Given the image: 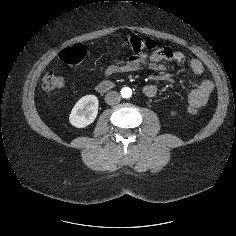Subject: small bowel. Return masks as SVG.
<instances>
[{
	"label": "small bowel",
	"mask_w": 236,
	"mask_h": 236,
	"mask_svg": "<svg viewBox=\"0 0 236 236\" xmlns=\"http://www.w3.org/2000/svg\"><path fill=\"white\" fill-rule=\"evenodd\" d=\"M185 60V55L181 51L174 50L171 47H164L160 52L150 55L134 54L127 59H115L111 65L103 70V76L109 77L118 73L136 72L140 70L163 72L166 69L163 61L183 64ZM187 65L191 72L197 76L202 75L204 72L203 64L197 59H190ZM213 89L214 84L211 80H202L189 92V108L194 107L199 109L204 106L208 102ZM156 93L157 87L154 84H148L144 87V94L147 97H153Z\"/></svg>",
	"instance_id": "1"
}]
</instances>
